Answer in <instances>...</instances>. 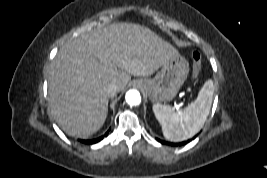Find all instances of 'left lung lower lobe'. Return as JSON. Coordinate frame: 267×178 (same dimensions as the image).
<instances>
[{
    "mask_svg": "<svg viewBox=\"0 0 267 178\" xmlns=\"http://www.w3.org/2000/svg\"><path fill=\"white\" fill-rule=\"evenodd\" d=\"M159 142H161V143H166V142H164V141H161L160 139H157ZM188 142H189V140H188ZM180 144H183V143H180ZM175 145H177V144H175Z\"/></svg>",
    "mask_w": 267,
    "mask_h": 178,
    "instance_id": "obj_1",
    "label": "left lung lower lobe"
}]
</instances>
